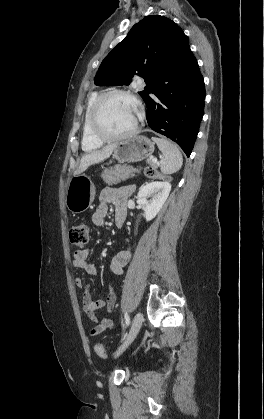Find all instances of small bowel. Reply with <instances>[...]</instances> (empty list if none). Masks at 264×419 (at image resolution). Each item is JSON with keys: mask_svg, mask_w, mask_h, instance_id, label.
Listing matches in <instances>:
<instances>
[{"mask_svg": "<svg viewBox=\"0 0 264 419\" xmlns=\"http://www.w3.org/2000/svg\"><path fill=\"white\" fill-rule=\"evenodd\" d=\"M133 187H114L105 188L100 193V204L92 215V221L96 226H102L105 223V218L108 213V205L115 206V220L121 218L124 221L126 213V201ZM128 243L129 240L126 238ZM131 258V249L128 246L126 249L120 251L111 261V271L116 275L123 273L124 267L128 264ZM88 252L85 250H78L74 253L73 266L77 269L84 270L89 275L95 276L97 270L95 266L88 262ZM75 283L77 287L82 290L83 308L88 318L96 324L91 329V335L96 336L103 332L109 331L114 327L112 320L108 318H100L96 312L100 309H106L111 312L115 301L116 293L112 285L109 286V293L106 299H94L91 294V287L81 277H76Z\"/></svg>", "mask_w": 264, "mask_h": 419, "instance_id": "small-bowel-1", "label": "small bowel"}]
</instances>
